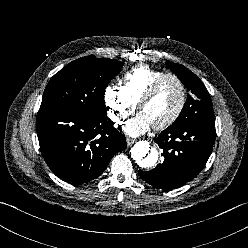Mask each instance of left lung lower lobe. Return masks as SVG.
Instances as JSON below:
<instances>
[{
	"instance_id": "obj_1",
	"label": "left lung lower lobe",
	"mask_w": 248,
	"mask_h": 248,
	"mask_svg": "<svg viewBox=\"0 0 248 248\" xmlns=\"http://www.w3.org/2000/svg\"><path fill=\"white\" fill-rule=\"evenodd\" d=\"M215 135V120L168 127L155 138L164 161L150 171L139 170L140 177L164 191L183 186L204 168Z\"/></svg>"
}]
</instances>
